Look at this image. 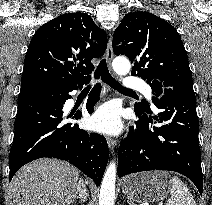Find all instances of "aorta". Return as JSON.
I'll return each instance as SVG.
<instances>
[{"instance_id": "762f6f07", "label": "aorta", "mask_w": 212, "mask_h": 205, "mask_svg": "<svg viewBox=\"0 0 212 205\" xmlns=\"http://www.w3.org/2000/svg\"><path fill=\"white\" fill-rule=\"evenodd\" d=\"M112 66L114 71L119 75H126L131 69L130 61L125 57H116L112 62ZM116 174V163L111 162L107 166L102 179L99 205H114Z\"/></svg>"}]
</instances>
